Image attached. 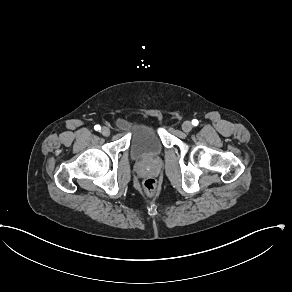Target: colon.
Returning a JSON list of instances; mask_svg holds the SVG:
<instances>
[{
	"label": "colon",
	"instance_id": "colon-1",
	"mask_svg": "<svg viewBox=\"0 0 292 292\" xmlns=\"http://www.w3.org/2000/svg\"><path fill=\"white\" fill-rule=\"evenodd\" d=\"M144 193L151 197L156 193V181L152 178H147L143 184Z\"/></svg>",
	"mask_w": 292,
	"mask_h": 292
}]
</instances>
